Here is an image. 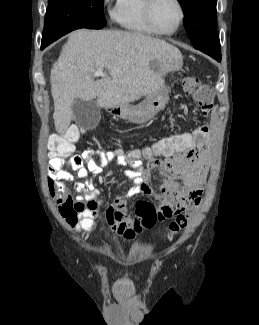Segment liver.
Listing matches in <instances>:
<instances>
[{
	"label": "liver",
	"instance_id": "1",
	"mask_svg": "<svg viewBox=\"0 0 259 325\" xmlns=\"http://www.w3.org/2000/svg\"><path fill=\"white\" fill-rule=\"evenodd\" d=\"M182 65L179 49L143 33L87 29L70 33L50 75L56 131H67L76 99L96 98L101 108L134 102L161 89V73ZM98 69L108 70L109 77L94 80Z\"/></svg>",
	"mask_w": 259,
	"mask_h": 325
}]
</instances>
